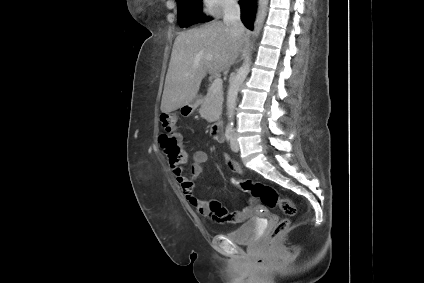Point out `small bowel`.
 <instances>
[{
	"label": "small bowel",
	"instance_id": "1",
	"mask_svg": "<svg viewBox=\"0 0 424 283\" xmlns=\"http://www.w3.org/2000/svg\"><path fill=\"white\" fill-rule=\"evenodd\" d=\"M224 138L221 142H223ZM186 158L187 154H186ZM208 156L203 150H197L192 158L190 169L188 172H185L182 166L178 168H173L172 172L175 177L176 182L178 183L181 192L183 193L187 202L194 207L197 212L203 216L210 215L209 206L205 201H202L197 198L194 193L195 181L202 174L204 166L207 162ZM224 162L235 172L241 173L242 169L240 165L234 161L228 154L223 155ZM187 161V160H186ZM247 214L245 211H239L233 213L230 220L233 222H241L245 220ZM214 220L219 221L213 216Z\"/></svg>",
	"mask_w": 424,
	"mask_h": 283
}]
</instances>
